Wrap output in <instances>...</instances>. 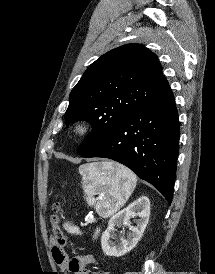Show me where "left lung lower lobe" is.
<instances>
[{
	"label": "left lung lower lobe",
	"instance_id": "1",
	"mask_svg": "<svg viewBox=\"0 0 215 274\" xmlns=\"http://www.w3.org/2000/svg\"><path fill=\"white\" fill-rule=\"evenodd\" d=\"M180 126L170 86L126 116L82 157L109 158L130 168L172 202Z\"/></svg>",
	"mask_w": 215,
	"mask_h": 274
}]
</instances>
